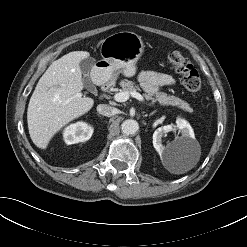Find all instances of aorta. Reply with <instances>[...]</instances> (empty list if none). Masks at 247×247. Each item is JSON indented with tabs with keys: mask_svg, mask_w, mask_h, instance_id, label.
<instances>
[{
	"mask_svg": "<svg viewBox=\"0 0 247 247\" xmlns=\"http://www.w3.org/2000/svg\"><path fill=\"white\" fill-rule=\"evenodd\" d=\"M123 134L133 135L139 130V124L136 120L127 119L121 124Z\"/></svg>",
	"mask_w": 247,
	"mask_h": 247,
	"instance_id": "obj_1",
	"label": "aorta"
}]
</instances>
